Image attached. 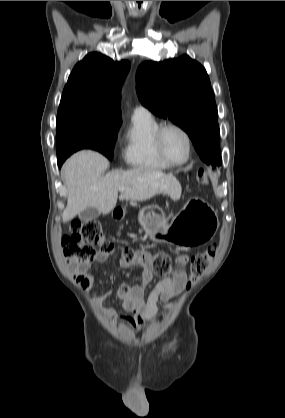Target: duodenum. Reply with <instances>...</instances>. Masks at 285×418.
<instances>
[{"instance_id":"duodenum-1","label":"duodenum","mask_w":285,"mask_h":418,"mask_svg":"<svg viewBox=\"0 0 285 418\" xmlns=\"http://www.w3.org/2000/svg\"><path fill=\"white\" fill-rule=\"evenodd\" d=\"M113 216L117 221H119L123 218V213L120 212L118 208H114L113 209Z\"/></svg>"}]
</instances>
